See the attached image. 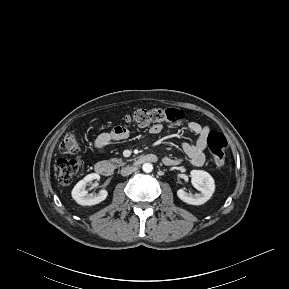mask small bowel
Here are the masks:
<instances>
[{"instance_id": "1", "label": "small bowel", "mask_w": 289, "mask_h": 289, "mask_svg": "<svg viewBox=\"0 0 289 289\" xmlns=\"http://www.w3.org/2000/svg\"><path fill=\"white\" fill-rule=\"evenodd\" d=\"M173 126H169L172 128ZM163 130V125L160 123L152 124L148 131L150 134H159ZM188 130L197 136L194 143L183 142L181 147L184 154L190 159L194 166H202L206 162L205 151L207 149V136L210 132L208 126H203L196 121H191L188 124ZM129 137V131L123 126H116L110 132L100 134L95 140V148L97 152L103 153L106 146L112 142L123 141ZM165 165L173 166L178 163V160L171 157L163 159Z\"/></svg>"}]
</instances>
